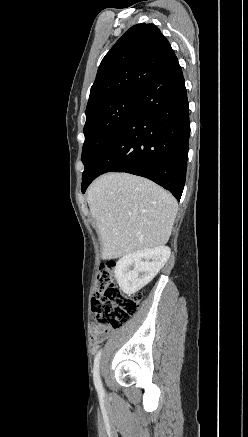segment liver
<instances>
[{
  "label": "liver",
  "mask_w": 248,
  "mask_h": 437,
  "mask_svg": "<svg viewBox=\"0 0 248 437\" xmlns=\"http://www.w3.org/2000/svg\"><path fill=\"white\" fill-rule=\"evenodd\" d=\"M87 202L102 241L103 259L163 246L178 211L170 193L126 173L97 178L88 188Z\"/></svg>",
  "instance_id": "6515ba94"
}]
</instances>
